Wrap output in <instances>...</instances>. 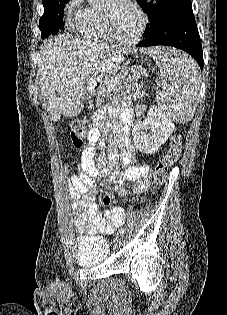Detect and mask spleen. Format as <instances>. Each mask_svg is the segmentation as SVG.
Listing matches in <instances>:
<instances>
[{
  "label": "spleen",
  "instance_id": "spleen-1",
  "mask_svg": "<svg viewBox=\"0 0 227 315\" xmlns=\"http://www.w3.org/2000/svg\"><path fill=\"white\" fill-rule=\"evenodd\" d=\"M148 54L157 62L165 80L157 95L160 110L174 122L190 121L199 97V73L196 63L175 49L156 48Z\"/></svg>",
  "mask_w": 227,
  "mask_h": 315
}]
</instances>
